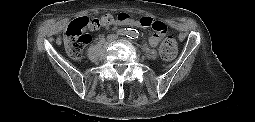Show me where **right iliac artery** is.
Segmentation results:
<instances>
[{"label": "right iliac artery", "instance_id": "right-iliac-artery-1", "mask_svg": "<svg viewBox=\"0 0 255 122\" xmlns=\"http://www.w3.org/2000/svg\"><path fill=\"white\" fill-rule=\"evenodd\" d=\"M118 34H119V35H126V36H128V34H130V33H129L128 30L123 29V30H119V31H118Z\"/></svg>", "mask_w": 255, "mask_h": 122}]
</instances>
